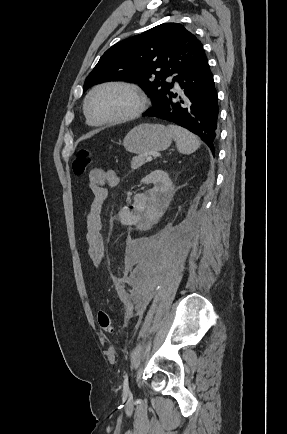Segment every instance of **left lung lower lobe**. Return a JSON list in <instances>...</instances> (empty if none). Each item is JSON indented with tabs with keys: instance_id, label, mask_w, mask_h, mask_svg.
Wrapping results in <instances>:
<instances>
[{
	"instance_id": "0a47b994",
	"label": "left lung lower lobe",
	"mask_w": 287,
	"mask_h": 434,
	"mask_svg": "<svg viewBox=\"0 0 287 434\" xmlns=\"http://www.w3.org/2000/svg\"><path fill=\"white\" fill-rule=\"evenodd\" d=\"M183 94L169 90L144 116L168 120L198 135L214 154L218 137L217 93L205 53L174 78ZM177 100H174V99Z\"/></svg>"
}]
</instances>
